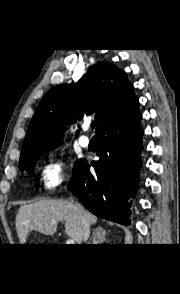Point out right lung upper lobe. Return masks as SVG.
Masks as SVG:
<instances>
[{
    "label": "right lung upper lobe",
    "mask_w": 180,
    "mask_h": 294,
    "mask_svg": "<svg viewBox=\"0 0 180 294\" xmlns=\"http://www.w3.org/2000/svg\"><path fill=\"white\" fill-rule=\"evenodd\" d=\"M137 98L124 71L98 62L76 84L52 88L42 99L27 130L19 162L58 146L67 123L96 112L98 128Z\"/></svg>",
    "instance_id": "right-lung-upper-lobe-1"
}]
</instances>
